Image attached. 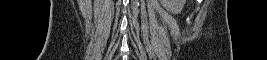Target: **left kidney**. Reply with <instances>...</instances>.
<instances>
[{"mask_svg": "<svg viewBox=\"0 0 267 60\" xmlns=\"http://www.w3.org/2000/svg\"><path fill=\"white\" fill-rule=\"evenodd\" d=\"M163 7L173 13V14H179L181 13L185 0H160Z\"/></svg>", "mask_w": 267, "mask_h": 60, "instance_id": "obj_1", "label": "left kidney"}]
</instances>
